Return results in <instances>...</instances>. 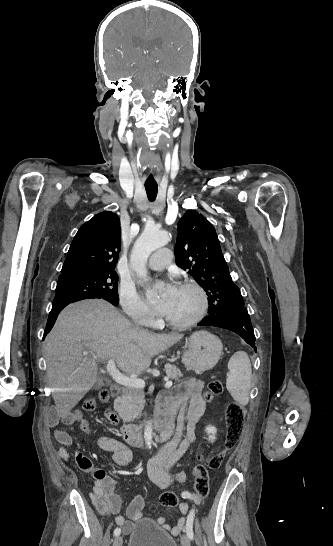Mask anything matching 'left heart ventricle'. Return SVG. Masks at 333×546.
I'll return each mask as SVG.
<instances>
[{
  "mask_svg": "<svg viewBox=\"0 0 333 546\" xmlns=\"http://www.w3.org/2000/svg\"><path fill=\"white\" fill-rule=\"evenodd\" d=\"M199 307V297L190 288L178 287L172 300L167 318L183 322L192 318Z\"/></svg>",
  "mask_w": 333,
  "mask_h": 546,
  "instance_id": "left-heart-ventricle-1",
  "label": "left heart ventricle"
}]
</instances>
